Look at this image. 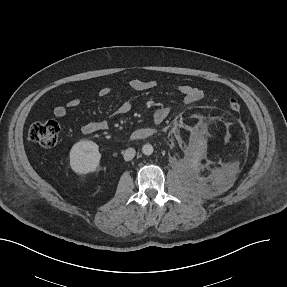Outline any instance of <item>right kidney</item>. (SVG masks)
<instances>
[{"instance_id":"1","label":"right kidney","mask_w":287,"mask_h":287,"mask_svg":"<svg viewBox=\"0 0 287 287\" xmlns=\"http://www.w3.org/2000/svg\"><path fill=\"white\" fill-rule=\"evenodd\" d=\"M70 166L77 174H88L96 171L101 154L99 146L90 140L75 143L70 150Z\"/></svg>"}]
</instances>
